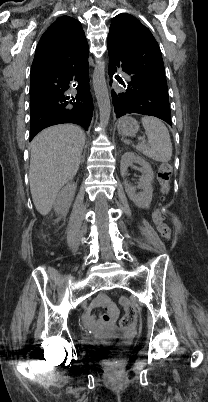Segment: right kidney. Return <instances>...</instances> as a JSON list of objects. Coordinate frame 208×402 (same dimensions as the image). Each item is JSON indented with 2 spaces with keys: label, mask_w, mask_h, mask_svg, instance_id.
<instances>
[{
  "label": "right kidney",
  "mask_w": 208,
  "mask_h": 402,
  "mask_svg": "<svg viewBox=\"0 0 208 402\" xmlns=\"http://www.w3.org/2000/svg\"><path fill=\"white\" fill-rule=\"evenodd\" d=\"M76 182H68L61 192H59L54 202V212L57 214H67L75 196Z\"/></svg>",
  "instance_id": "obj_1"
}]
</instances>
